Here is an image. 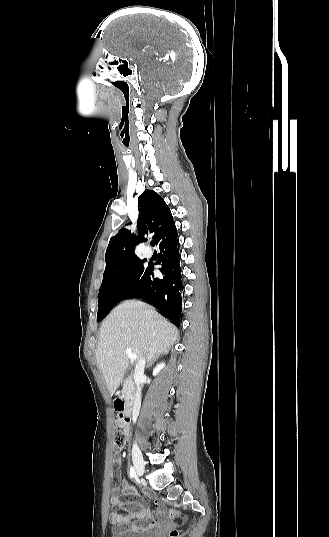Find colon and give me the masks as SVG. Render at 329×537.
Returning <instances> with one entry per match:
<instances>
[{
    "label": "colon",
    "mask_w": 329,
    "mask_h": 537,
    "mask_svg": "<svg viewBox=\"0 0 329 537\" xmlns=\"http://www.w3.org/2000/svg\"><path fill=\"white\" fill-rule=\"evenodd\" d=\"M117 417L122 422L127 421V419L124 418L120 414H117ZM126 442H127V434H126V432L123 429H116L114 431V434H113V450H114V452L118 453V452L122 451L124 449L125 445H126ZM169 516H170V518L175 519V518H178L180 516V513L178 511L172 510V511H170ZM176 535H177L176 531H172L170 533L171 537H174Z\"/></svg>",
    "instance_id": "1"
}]
</instances>
